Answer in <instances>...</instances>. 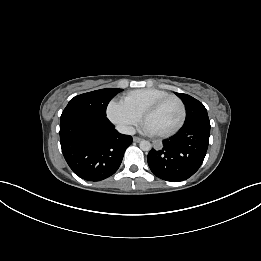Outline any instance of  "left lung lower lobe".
I'll use <instances>...</instances> for the list:
<instances>
[{
    "instance_id": "0a47b994",
    "label": "left lung lower lobe",
    "mask_w": 261,
    "mask_h": 261,
    "mask_svg": "<svg viewBox=\"0 0 261 261\" xmlns=\"http://www.w3.org/2000/svg\"><path fill=\"white\" fill-rule=\"evenodd\" d=\"M210 121L198 120L184 124L163 146L152 149L148 165L163 180L178 182L191 177L201 166L209 144Z\"/></svg>"
}]
</instances>
